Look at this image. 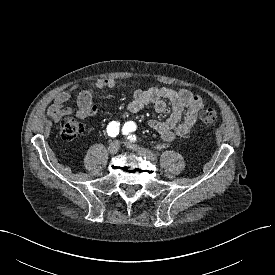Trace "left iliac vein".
I'll return each mask as SVG.
<instances>
[{"label": "left iliac vein", "mask_w": 275, "mask_h": 275, "mask_svg": "<svg viewBox=\"0 0 275 275\" xmlns=\"http://www.w3.org/2000/svg\"><path fill=\"white\" fill-rule=\"evenodd\" d=\"M124 144H125L128 148H130V149H132V150H134V151L140 153L141 155L146 156V157H147L148 159H150L151 161H156V160H157L156 155H155L154 153L148 151V150L145 149V148L139 147V146H137V145H135V144H132V143H130V142H124Z\"/></svg>", "instance_id": "obj_1"}]
</instances>
